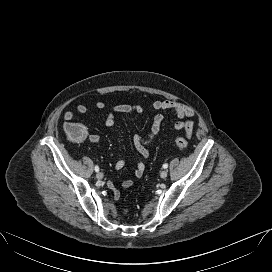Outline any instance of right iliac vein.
<instances>
[{
	"instance_id": "obj_1",
	"label": "right iliac vein",
	"mask_w": 272,
	"mask_h": 272,
	"mask_svg": "<svg viewBox=\"0 0 272 272\" xmlns=\"http://www.w3.org/2000/svg\"><path fill=\"white\" fill-rule=\"evenodd\" d=\"M96 177H97L98 180H102V179H103V173L98 172V173L96 174Z\"/></svg>"
}]
</instances>
